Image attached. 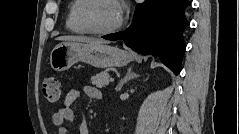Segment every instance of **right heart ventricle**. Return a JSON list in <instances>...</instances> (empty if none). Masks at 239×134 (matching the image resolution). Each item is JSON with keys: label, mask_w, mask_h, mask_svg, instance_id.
Instances as JSON below:
<instances>
[{"label": "right heart ventricle", "mask_w": 239, "mask_h": 134, "mask_svg": "<svg viewBox=\"0 0 239 134\" xmlns=\"http://www.w3.org/2000/svg\"><path fill=\"white\" fill-rule=\"evenodd\" d=\"M84 3L85 0H74L71 2L69 7L66 25L67 28L75 34L88 33V31L85 29V27L82 25L80 21V11Z\"/></svg>", "instance_id": "1"}]
</instances>
